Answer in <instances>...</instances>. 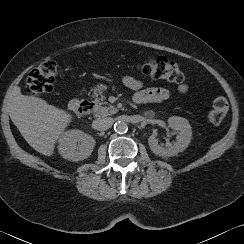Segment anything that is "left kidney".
<instances>
[{
	"instance_id": "1",
	"label": "left kidney",
	"mask_w": 244,
	"mask_h": 244,
	"mask_svg": "<svg viewBox=\"0 0 244 244\" xmlns=\"http://www.w3.org/2000/svg\"><path fill=\"white\" fill-rule=\"evenodd\" d=\"M168 126L176 133L175 142L167 144L166 147H162L158 143L156 134H152L148 139L151 151L160 157L175 156L179 152L184 151L191 143L192 128L187 119L179 116L169 117Z\"/></svg>"
}]
</instances>
